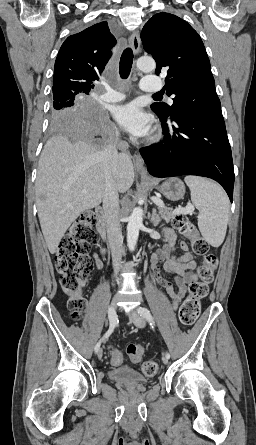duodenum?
Instances as JSON below:
<instances>
[{"instance_id": "duodenum-1", "label": "duodenum", "mask_w": 256, "mask_h": 445, "mask_svg": "<svg viewBox=\"0 0 256 445\" xmlns=\"http://www.w3.org/2000/svg\"><path fill=\"white\" fill-rule=\"evenodd\" d=\"M96 214V229L103 240H107L106 226L104 222V210L98 206L95 208Z\"/></svg>"}]
</instances>
